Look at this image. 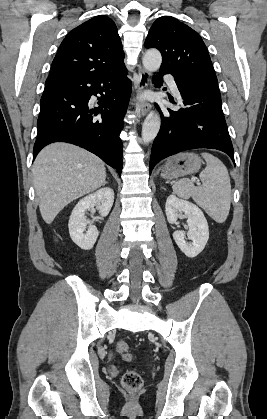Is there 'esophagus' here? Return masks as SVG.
Returning <instances> with one entry per match:
<instances>
[{"label":"esophagus","instance_id":"esophagus-1","mask_svg":"<svg viewBox=\"0 0 267 419\" xmlns=\"http://www.w3.org/2000/svg\"><path fill=\"white\" fill-rule=\"evenodd\" d=\"M150 80V74L141 66L138 68V92H142L147 88ZM137 110L142 114L146 115L151 109V104L149 102H140L137 104Z\"/></svg>","mask_w":267,"mask_h":419}]
</instances>
